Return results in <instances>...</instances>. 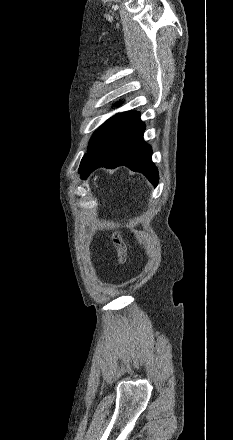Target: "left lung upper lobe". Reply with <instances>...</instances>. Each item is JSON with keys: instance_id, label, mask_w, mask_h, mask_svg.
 I'll return each instance as SVG.
<instances>
[{"instance_id": "1", "label": "left lung upper lobe", "mask_w": 233, "mask_h": 440, "mask_svg": "<svg viewBox=\"0 0 233 440\" xmlns=\"http://www.w3.org/2000/svg\"><path fill=\"white\" fill-rule=\"evenodd\" d=\"M119 114H116L115 116L111 117L110 119H108L104 125H102L101 127H99V129L97 131L94 132V134L92 135L90 142H89V146H88V152L89 150L92 148V146L95 144V142L98 140V138L100 137V135L102 134V132L105 130V128L110 124V122H112ZM87 154L84 155V157L82 158V160L86 157ZM82 162V161H81Z\"/></svg>"}]
</instances>
